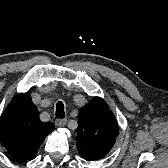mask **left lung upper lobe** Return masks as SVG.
Segmentation results:
<instances>
[{
  "label": "left lung upper lobe",
  "instance_id": "5c2ea615",
  "mask_svg": "<svg viewBox=\"0 0 168 168\" xmlns=\"http://www.w3.org/2000/svg\"><path fill=\"white\" fill-rule=\"evenodd\" d=\"M76 144L78 153L87 161L104 157L113 147L119 129L109 106L95 97L78 115Z\"/></svg>",
  "mask_w": 168,
  "mask_h": 168
}]
</instances>
